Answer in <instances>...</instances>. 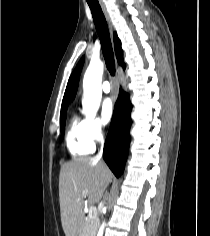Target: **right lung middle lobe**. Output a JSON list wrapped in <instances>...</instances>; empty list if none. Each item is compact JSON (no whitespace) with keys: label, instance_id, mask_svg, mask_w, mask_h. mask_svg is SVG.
Wrapping results in <instances>:
<instances>
[{"label":"right lung middle lobe","instance_id":"1","mask_svg":"<svg viewBox=\"0 0 210 236\" xmlns=\"http://www.w3.org/2000/svg\"><path fill=\"white\" fill-rule=\"evenodd\" d=\"M65 120H66V111L61 112L60 114L61 138H63L65 131Z\"/></svg>","mask_w":210,"mask_h":236}]
</instances>
